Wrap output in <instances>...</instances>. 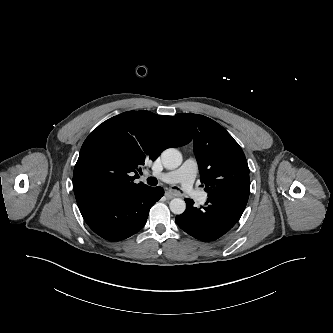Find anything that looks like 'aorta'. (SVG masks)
I'll return each mask as SVG.
<instances>
[{"label":"aorta","mask_w":333,"mask_h":333,"mask_svg":"<svg viewBox=\"0 0 333 333\" xmlns=\"http://www.w3.org/2000/svg\"><path fill=\"white\" fill-rule=\"evenodd\" d=\"M163 166L167 169H175L182 163V154L175 148H168L161 154ZM169 207L172 213L179 215L186 209V203L181 198H174L170 201Z\"/></svg>","instance_id":"aorta-1"}]
</instances>
